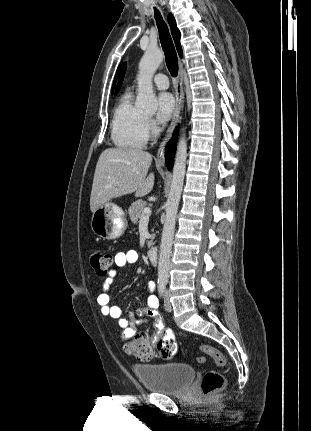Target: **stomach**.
<instances>
[{
  "label": "stomach",
  "instance_id": "0dacf381",
  "mask_svg": "<svg viewBox=\"0 0 311 431\" xmlns=\"http://www.w3.org/2000/svg\"><path fill=\"white\" fill-rule=\"evenodd\" d=\"M127 225L122 208L113 202L103 204L91 217V229L101 239H117L123 235Z\"/></svg>",
  "mask_w": 311,
  "mask_h": 431
}]
</instances>
